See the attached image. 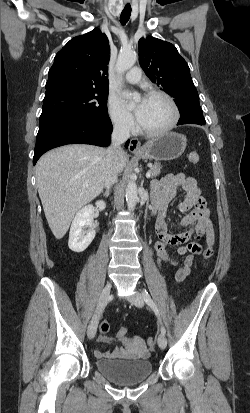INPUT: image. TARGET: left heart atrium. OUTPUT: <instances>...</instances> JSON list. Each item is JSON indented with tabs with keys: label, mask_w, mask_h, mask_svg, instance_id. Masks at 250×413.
<instances>
[{
	"label": "left heart atrium",
	"mask_w": 250,
	"mask_h": 413,
	"mask_svg": "<svg viewBox=\"0 0 250 413\" xmlns=\"http://www.w3.org/2000/svg\"><path fill=\"white\" fill-rule=\"evenodd\" d=\"M145 103H146V99H143V100L139 103V105H138V107H137V109H136V116H137V118H138L139 121L141 120Z\"/></svg>",
	"instance_id": "1"
}]
</instances>
